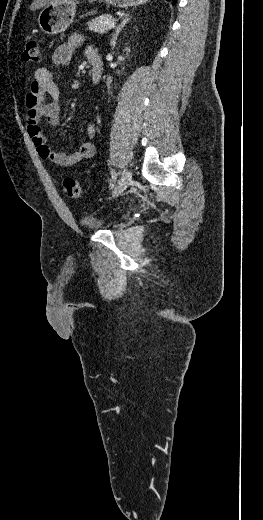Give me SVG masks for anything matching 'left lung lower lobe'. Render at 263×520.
Wrapping results in <instances>:
<instances>
[{
	"label": "left lung lower lobe",
	"mask_w": 263,
	"mask_h": 520,
	"mask_svg": "<svg viewBox=\"0 0 263 520\" xmlns=\"http://www.w3.org/2000/svg\"><path fill=\"white\" fill-rule=\"evenodd\" d=\"M176 1H177V0H172V2H173L172 4H174Z\"/></svg>",
	"instance_id": "1"
}]
</instances>
